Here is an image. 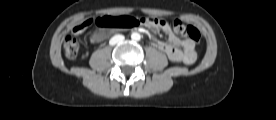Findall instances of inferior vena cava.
Segmentation results:
<instances>
[{
  "mask_svg": "<svg viewBox=\"0 0 276 120\" xmlns=\"http://www.w3.org/2000/svg\"><path fill=\"white\" fill-rule=\"evenodd\" d=\"M124 40V36L123 35H115L113 36L110 41H109V44L110 45H115L117 44L118 42L120 41H123Z\"/></svg>",
  "mask_w": 276,
  "mask_h": 120,
  "instance_id": "1",
  "label": "inferior vena cava"
}]
</instances>
